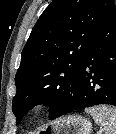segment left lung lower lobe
Masks as SVG:
<instances>
[{"instance_id":"obj_1","label":"left lung lower lobe","mask_w":116,"mask_h":134,"mask_svg":"<svg viewBox=\"0 0 116 134\" xmlns=\"http://www.w3.org/2000/svg\"><path fill=\"white\" fill-rule=\"evenodd\" d=\"M108 104L116 106V6L107 15L86 53L77 88L50 118L73 111Z\"/></svg>"}]
</instances>
